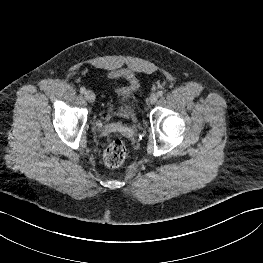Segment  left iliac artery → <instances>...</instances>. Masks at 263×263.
Instances as JSON below:
<instances>
[{
	"label": "left iliac artery",
	"instance_id": "obj_1",
	"mask_svg": "<svg viewBox=\"0 0 263 263\" xmlns=\"http://www.w3.org/2000/svg\"><path fill=\"white\" fill-rule=\"evenodd\" d=\"M159 96H163L164 92L163 91H158L157 93Z\"/></svg>",
	"mask_w": 263,
	"mask_h": 263
}]
</instances>
